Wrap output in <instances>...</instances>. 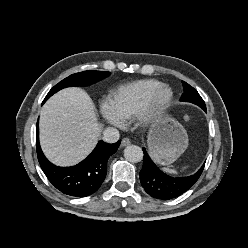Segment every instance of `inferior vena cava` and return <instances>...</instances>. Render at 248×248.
<instances>
[{
  "label": "inferior vena cava",
  "instance_id": "602c4592",
  "mask_svg": "<svg viewBox=\"0 0 248 248\" xmlns=\"http://www.w3.org/2000/svg\"><path fill=\"white\" fill-rule=\"evenodd\" d=\"M120 134L116 128H106L103 132V140L107 143H115L119 140Z\"/></svg>",
  "mask_w": 248,
  "mask_h": 248
}]
</instances>
